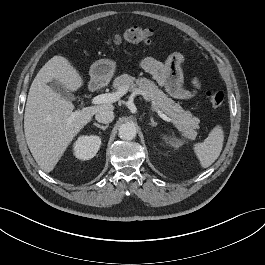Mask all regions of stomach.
<instances>
[{"label":"stomach","mask_w":265,"mask_h":265,"mask_svg":"<svg viewBox=\"0 0 265 265\" xmlns=\"http://www.w3.org/2000/svg\"><path fill=\"white\" fill-rule=\"evenodd\" d=\"M116 62L110 59H100L94 62L90 67L91 82L102 86L107 84L114 75Z\"/></svg>","instance_id":"1"}]
</instances>
